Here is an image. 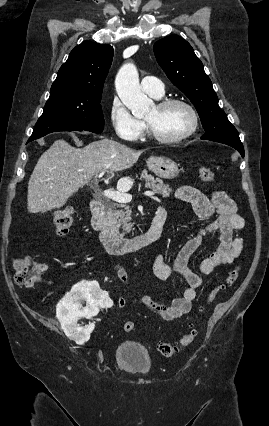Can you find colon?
<instances>
[{"mask_svg": "<svg viewBox=\"0 0 269 426\" xmlns=\"http://www.w3.org/2000/svg\"><path fill=\"white\" fill-rule=\"evenodd\" d=\"M199 176L201 180L207 184H213L215 182L213 171L205 165L199 167ZM74 221L75 212L72 207H65L55 211L53 215L55 233L59 236L67 235L71 230ZM12 266L14 269V279L18 284L33 286L41 281L43 271L42 265L36 262L33 257L29 255L15 257L13 259ZM238 277L239 268L234 267L229 271L224 282L208 293L206 302L212 301L220 291L231 287L237 281ZM123 329L126 332H132L134 330V323L131 321L125 322ZM196 337L197 330L193 327L183 337H181L177 343H159L157 350L161 355L170 357L175 355L180 348L192 344Z\"/></svg>", "mask_w": 269, "mask_h": 426, "instance_id": "1", "label": "colon"}]
</instances>
